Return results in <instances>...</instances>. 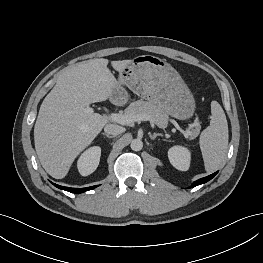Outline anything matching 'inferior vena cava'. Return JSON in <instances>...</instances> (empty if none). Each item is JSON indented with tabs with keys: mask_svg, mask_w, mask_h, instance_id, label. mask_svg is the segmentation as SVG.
I'll return each instance as SVG.
<instances>
[{
	"mask_svg": "<svg viewBox=\"0 0 263 263\" xmlns=\"http://www.w3.org/2000/svg\"><path fill=\"white\" fill-rule=\"evenodd\" d=\"M104 131L107 134L116 136L118 134L123 133L125 131V128H123L122 126L116 125V124H107L104 128Z\"/></svg>",
	"mask_w": 263,
	"mask_h": 263,
	"instance_id": "obj_1",
	"label": "inferior vena cava"
}]
</instances>
